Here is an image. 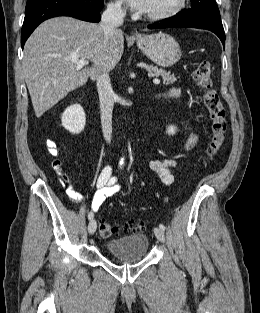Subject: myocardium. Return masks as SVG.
I'll return each mask as SVG.
<instances>
[{"label":"myocardium","mask_w":260,"mask_h":313,"mask_svg":"<svg viewBox=\"0 0 260 313\" xmlns=\"http://www.w3.org/2000/svg\"><path fill=\"white\" fill-rule=\"evenodd\" d=\"M186 1L187 0H177L174 6L168 10L159 13H146L145 17L151 21H162L172 18L183 11L186 6Z\"/></svg>","instance_id":"myocardium-1"}]
</instances>
